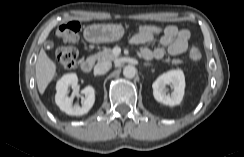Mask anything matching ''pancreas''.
Instances as JSON below:
<instances>
[{
  "label": "pancreas",
  "mask_w": 244,
  "mask_h": 157,
  "mask_svg": "<svg viewBox=\"0 0 244 157\" xmlns=\"http://www.w3.org/2000/svg\"><path fill=\"white\" fill-rule=\"evenodd\" d=\"M92 57L98 61H113L118 58V56L115 55L113 53L112 49H110V48H103L102 51L98 52L97 54L93 55ZM164 62H166L168 64L171 62L174 65L182 63V61L180 59L171 60L170 58H166L164 60Z\"/></svg>",
  "instance_id": "cf45deb5"
}]
</instances>
